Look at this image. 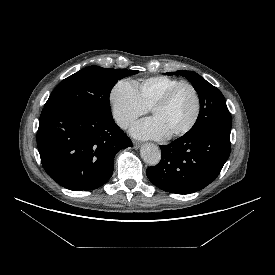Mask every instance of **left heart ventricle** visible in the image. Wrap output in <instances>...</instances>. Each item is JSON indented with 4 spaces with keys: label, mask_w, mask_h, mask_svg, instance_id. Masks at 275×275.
I'll use <instances>...</instances> for the list:
<instances>
[{
    "label": "left heart ventricle",
    "mask_w": 275,
    "mask_h": 275,
    "mask_svg": "<svg viewBox=\"0 0 275 275\" xmlns=\"http://www.w3.org/2000/svg\"><path fill=\"white\" fill-rule=\"evenodd\" d=\"M195 109L193 92L183 87L176 92L166 107L153 111L152 117L158 120L169 135L184 128L193 118Z\"/></svg>",
    "instance_id": "obj_1"
}]
</instances>
